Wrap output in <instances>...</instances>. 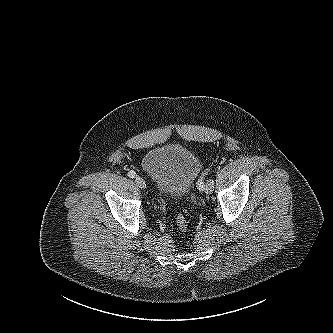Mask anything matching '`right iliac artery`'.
Instances as JSON below:
<instances>
[{
	"mask_svg": "<svg viewBox=\"0 0 333 333\" xmlns=\"http://www.w3.org/2000/svg\"><path fill=\"white\" fill-rule=\"evenodd\" d=\"M128 176L130 177V178H134L135 176H136V173L132 170V171H129L128 172Z\"/></svg>",
	"mask_w": 333,
	"mask_h": 333,
	"instance_id": "obj_1",
	"label": "right iliac artery"
}]
</instances>
